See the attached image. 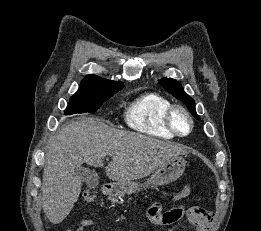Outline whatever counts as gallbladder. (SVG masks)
<instances>
[{
    "label": "gallbladder",
    "mask_w": 261,
    "mask_h": 231,
    "mask_svg": "<svg viewBox=\"0 0 261 231\" xmlns=\"http://www.w3.org/2000/svg\"><path fill=\"white\" fill-rule=\"evenodd\" d=\"M76 173L78 177L81 179L83 183H85L87 186L94 188L98 184V175L94 170H91L87 167H77Z\"/></svg>",
    "instance_id": "bac80fb5"
}]
</instances>
